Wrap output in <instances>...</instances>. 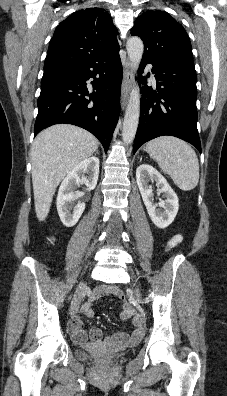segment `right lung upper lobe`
<instances>
[{"instance_id":"obj_1","label":"right lung upper lobe","mask_w":227,"mask_h":396,"mask_svg":"<svg viewBox=\"0 0 227 396\" xmlns=\"http://www.w3.org/2000/svg\"><path fill=\"white\" fill-rule=\"evenodd\" d=\"M117 29L101 8L79 10L56 28L44 70L87 62L119 49Z\"/></svg>"}]
</instances>
